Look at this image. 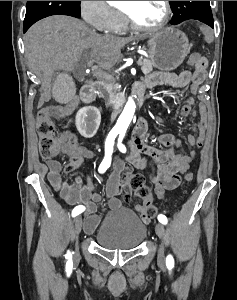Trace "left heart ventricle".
I'll return each instance as SVG.
<instances>
[{
  "label": "left heart ventricle",
  "mask_w": 237,
  "mask_h": 300,
  "mask_svg": "<svg viewBox=\"0 0 237 300\" xmlns=\"http://www.w3.org/2000/svg\"><path fill=\"white\" fill-rule=\"evenodd\" d=\"M121 8L126 10L140 25L154 26L165 13L163 1H121Z\"/></svg>",
  "instance_id": "b2bd125f"
}]
</instances>
